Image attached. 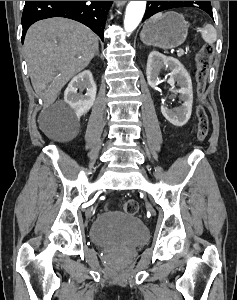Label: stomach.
I'll list each match as a JSON object with an SVG mask.
<instances>
[{"instance_id": "stomach-1", "label": "stomach", "mask_w": 237, "mask_h": 300, "mask_svg": "<svg viewBox=\"0 0 237 300\" xmlns=\"http://www.w3.org/2000/svg\"><path fill=\"white\" fill-rule=\"evenodd\" d=\"M188 35L187 23L179 13L168 11L161 19L149 21L144 25L140 39L144 45H153L161 49H172L184 43Z\"/></svg>"}]
</instances>
